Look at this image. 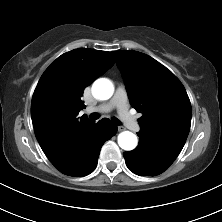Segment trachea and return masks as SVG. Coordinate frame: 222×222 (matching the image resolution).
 Listing matches in <instances>:
<instances>
[{
	"label": "trachea",
	"instance_id": "trachea-1",
	"mask_svg": "<svg viewBox=\"0 0 222 222\" xmlns=\"http://www.w3.org/2000/svg\"><path fill=\"white\" fill-rule=\"evenodd\" d=\"M89 117H90V119H92V120H96V119L99 118V114H98V113H91ZM111 120H112V122H113L114 124H116V125H121V121H120L119 119L113 117Z\"/></svg>",
	"mask_w": 222,
	"mask_h": 222
}]
</instances>
